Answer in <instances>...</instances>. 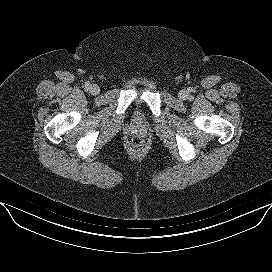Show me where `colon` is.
I'll list each match as a JSON object with an SVG mask.
<instances>
[{"label":"colon","instance_id":"5ec220e1","mask_svg":"<svg viewBox=\"0 0 272 272\" xmlns=\"http://www.w3.org/2000/svg\"><path fill=\"white\" fill-rule=\"evenodd\" d=\"M131 146L135 150H140L143 147V141H142V139L139 138V137H134L131 140Z\"/></svg>","mask_w":272,"mask_h":272}]
</instances>
